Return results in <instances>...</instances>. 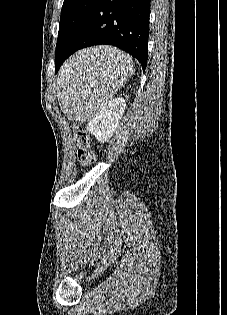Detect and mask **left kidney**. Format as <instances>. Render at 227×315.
Instances as JSON below:
<instances>
[{"instance_id":"1","label":"left kidney","mask_w":227,"mask_h":315,"mask_svg":"<svg viewBox=\"0 0 227 315\" xmlns=\"http://www.w3.org/2000/svg\"><path fill=\"white\" fill-rule=\"evenodd\" d=\"M126 107L125 100L117 97L102 107L87 124L88 132L100 142L113 136Z\"/></svg>"}]
</instances>
